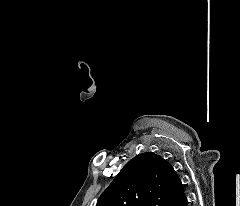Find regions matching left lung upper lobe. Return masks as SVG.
<instances>
[{"mask_svg": "<svg viewBox=\"0 0 240 206\" xmlns=\"http://www.w3.org/2000/svg\"><path fill=\"white\" fill-rule=\"evenodd\" d=\"M181 186L172 165L151 152L130 160L96 206H168Z\"/></svg>", "mask_w": 240, "mask_h": 206, "instance_id": "left-lung-upper-lobe-1", "label": "left lung upper lobe"}]
</instances>
